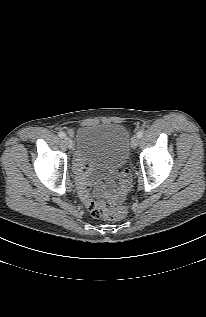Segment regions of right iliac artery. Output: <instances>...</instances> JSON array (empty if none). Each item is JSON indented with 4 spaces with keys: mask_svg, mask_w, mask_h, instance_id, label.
I'll use <instances>...</instances> for the list:
<instances>
[{
    "mask_svg": "<svg viewBox=\"0 0 206 317\" xmlns=\"http://www.w3.org/2000/svg\"><path fill=\"white\" fill-rule=\"evenodd\" d=\"M58 135H59V137H61V138H64V137L66 136L64 132H59Z\"/></svg>",
    "mask_w": 206,
    "mask_h": 317,
    "instance_id": "right-iliac-artery-1",
    "label": "right iliac artery"
}]
</instances>
